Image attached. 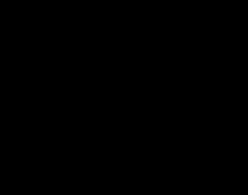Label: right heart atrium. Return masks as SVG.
<instances>
[{
    "label": "right heart atrium",
    "mask_w": 248,
    "mask_h": 195,
    "mask_svg": "<svg viewBox=\"0 0 248 195\" xmlns=\"http://www.w3.org/2000/svg\"><path fill=\"white\" fill-rule=\"evenodd\" d=\"M101 84L112 93H122L125 80L113 69L104 66L98 72Z\"/></svg>",
    "instance_id": "1"
}]
</instances>
